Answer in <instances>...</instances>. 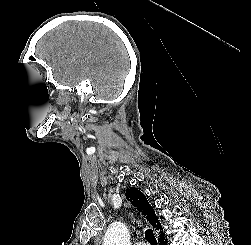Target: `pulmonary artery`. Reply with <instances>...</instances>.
I'll return each instance as SVG.
<instances>
[{"instance_id": "pulmonary-artery-1", "label": "pulmonary artery", "mask_w": 251, "mask_h": 245, "mask_svg": "<svg viewBox=\"0 0 251 245\" xmlns=\"http://www.w3.org/2000/svg\"><path fill=\"white\" fill-rule=\"evenodd\" d=\"M135 245H148V243H146V242H137V243H135Z\"/></svg>"}]
</instances>
